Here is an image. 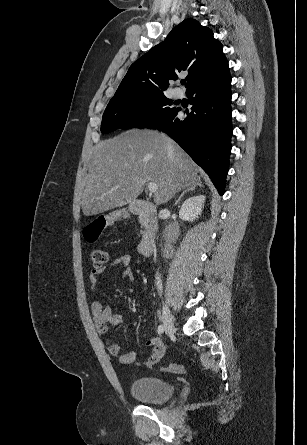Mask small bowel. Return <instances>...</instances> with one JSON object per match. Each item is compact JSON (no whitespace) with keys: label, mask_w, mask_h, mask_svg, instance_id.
<instances>
[{"label":"small bowel","mask_w":307,"mask_h":445,"mask_svg":"<svg viewBox=\"0 0 307 445\" xmlns=\"http://www.w3.org/2000/svg\"><path fill=\"white\" fill-rule=\"evenodd\" d=\"M131 261L132 258L130 255L122 254L114 258L109 263V267H122V276L127 280L133 281L134 272L131 268ZM106 270V267H102L94 268L90 271L88 279L92 290L97 288L98 278L103 275ZM90 311L93 316L94 326L103 338L107 336V331L110 327L117 326L124 321V317L121 314L113 313L108 305L100 301H93L90 305ZM147 344L152 350L150 355L144 360L143 365L148 368L161 360L165 352V347L160 337L151 338ZM106 347L111 355L118 357V361L121 364L129 365L135 361L136 354L132 350L121 353L120 346L111 341L106 342Z\"/></svg>","instance_id":"small-bowel-1"}]
</instances>
